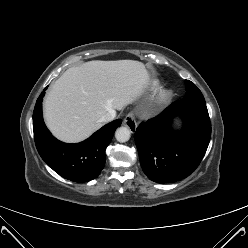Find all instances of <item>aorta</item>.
Masks as SVG:
<instances>
[{
    "mask_svg": "<svg viewBox=\"0 0 248 248\" xmlns=\"http://www.w3.org/2000/svg\"><path fill=\"white\" fill-rule=\"evenodd\" d=\"M131 133L127 127H119L115 132V138L118 142H127L130 139Z\"/></svg>",
    "mask_w": 248,
    "mask_h": 248,
    "instance_id": "762f6f07",
    "label": "aorta"
}]
</instances>
